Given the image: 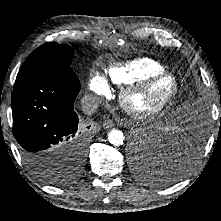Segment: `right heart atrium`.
Here are the masks:
<instances>
[{"instance_id": "right-heart-atrium-1", "label": "right heart atrium", "mask_w": 221, "mask_h": 221, "mask_svg": "<svg viewBox=\"0 0 221 221\" xmlns=\"http://www.w3.org/2000/svg\"><path fill=\"white\" fill-rule=\"evenodd\" d=\"M89 89L97 95H106L109 92L108 84L99 75H94L89 82Z\"/></svg>"}]
</instances>
